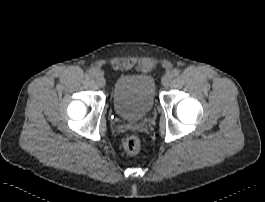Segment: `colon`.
I'll return each mask as SVG.
<instances>
[{
    "instance_id": "obj_1",
    "label": "colon",
    "mask_w": 265,
    "mask_h": 202,
    "mask_svg": "<svg viewBox=\"0 0 265 202\" xmlns=\"http://www.w3.org/2000/svg\"><path fill=\"white\" fill-rule=\"evenodd\" d=\"M123 146L128 154L135 155L141 149V139L136 134L129 135L125 138Z\"/></svg>"
}]
</instances>
